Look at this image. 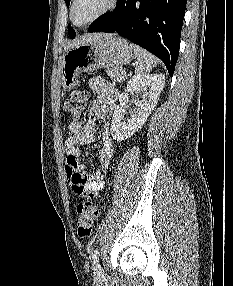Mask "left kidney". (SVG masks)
Instances as JSON below:
<instances>
[{"mask_svg":"<svg viewBox=\"0 0 233 286\" xmlns=\"http://www.w3.org/2000/svg\"><path fill=\"white\" fill-rule=\"evenodd\" d=\"M164 84L165 76L161 73L137 75L128 81L126 89L133 96V103L136 107L130 118H124L128 108L129 94L123 93L119 96V105L114 110L110 128L113 139L125 140L143 126L155 108Z\"/></svg>","mask_w":233,"mask_h":286,"instance_id":"left-kidney-1","label":"left kidney"}]
</instances>
